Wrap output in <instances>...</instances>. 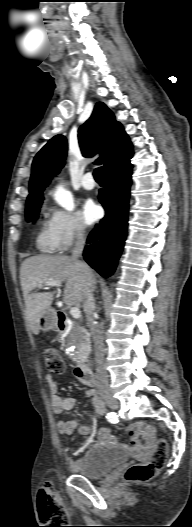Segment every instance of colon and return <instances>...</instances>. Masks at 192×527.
Masks as SVG:
<instances>
[{"label": "colon", "mask_w": 192, "mask_h": 527, "mask_svg": "<svg viewBox=\"0 0 192 527\" xmlns=\"http://www.w3.org/2000/svg\"><path fill=\"white\" fill-rule=\"evenodd\" d=\"M47 369L55 374H61L65 370L64 361L57 348L48 346L43 350ZM168 455V445L165 440H159L155 452L150 461L145 464H133L127 468L124 477L128 481H149L164 467ZM39 509L42 513L45 507L52 504L54 509L64 514L63 507L55 504L53 487L50 483L45 484L39 495Z\"/></svg>", "instance_id": "obj_1"}]
</instances>
